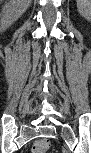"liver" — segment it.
<instances>
[{
  "mask_svg": "<svg viewBox=\"0 0 91 153\" xmlns=\"http://www.w3.org/2000/svg\"><path fill=\"white\" fill-rule=\"evenodd\" d=\"M21 1H22V3L25 4V5H28V6H29V4H30V1H29V0H21Z\"/></svg>",
  "mask_w": 91,
  "mask_h": 153,
  "instance_id": "6515ba94",
  "label": "liver"
}]
</instances>
